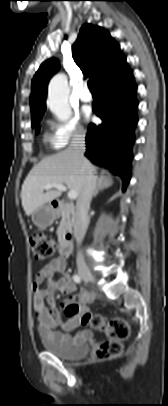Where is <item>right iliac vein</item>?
Here are the masks:
<instances>
[{
    "instance_id": "1",
    "label": "right iliac vein",
    "mask_w": 168,
    "mask_h": 406,
    "mask_svg": "<svg viewBox=\"0 0 168 406\" xmlns=\"http://www.w3.org/2000/svg\"><path fill=\"white\" fill-rule=\"evenodd\" d=\"M79 275L84 281L91 282V283L95 282V277L93 276V274L91 273V271L88 268H85V267L80 268Z\"/></svg>"
}]
</instances>
